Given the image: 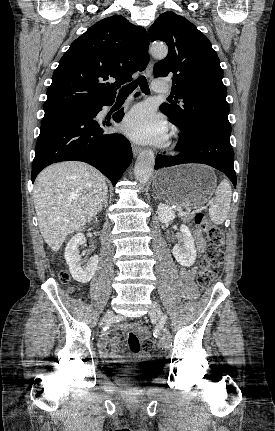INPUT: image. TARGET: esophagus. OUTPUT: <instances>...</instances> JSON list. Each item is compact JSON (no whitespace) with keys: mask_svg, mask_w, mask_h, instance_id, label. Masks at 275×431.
I'll use <instances>...</instances> for the list:
<instances>
[{"mask_svg":"<svg viewBox=\"0 0 275 431\" xmlns=\"http://www.w3.org/2000/svg\"><path fill=\"white\" fill-rule=\"evenodd\" d=\"M153 65H154L153 61H152V59H150L149 62H148V65L146 67V70H145V75L147 77H151L152 71H153ZM132 151H133V156L136 157L138 155V153H140L141 148L138 147V146H133L132 147Z\"/></svg>","mask_w":275,"mask_h":431,"instance_id":"obj_1","label":"esophagus"}]
</instances>
